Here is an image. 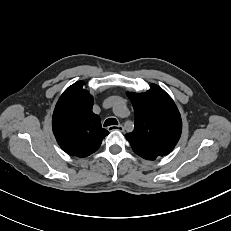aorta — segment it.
Wrapping results in <instances>:
<instances>
[{
    "instance_id": "1",
    "label": "aorta",
    "mask_w": 231,
    "mask_h": 231,
    "mask_svg": "<svg viewBox=\"0 0 231 231\" xmlns=\"http://www.w3.org/2000/svg\"><path fill=\"white\" fill-rule=\"evenodd\" d=\"M126 111V106L122 103H117L114 106V112L118 115V116H123V114Z\"/></svg>"
}]
</instances>
